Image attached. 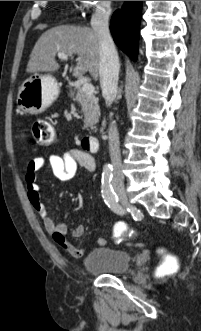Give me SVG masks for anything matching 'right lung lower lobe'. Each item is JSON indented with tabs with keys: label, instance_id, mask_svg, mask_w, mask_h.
Wrapping results in <instances>:
<instances>
[{
	"label": "right lung lower lobe",
	"instance_id": "1",
	"mask_svg": "<svg viewBox=\"0 0 201 331\" xmlns=\"http://www.w3.org/2000/svg\"><path fill=\"white\" fill-rule=\"evenodd\" d=\"M141 1H126L111 19L110 30L115 43L134 61L138 54Z\"/></svg>",
	"mask_w": 201,
	"mask_h": 331
}]
</instances>
